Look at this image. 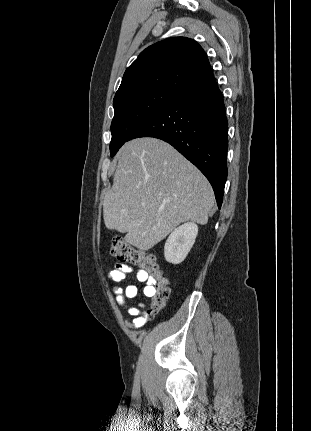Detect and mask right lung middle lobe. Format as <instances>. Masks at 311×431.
<instances>
[{"mask_svg":"<svg viewBox=\"0 0 311 431\" xmlns=\"http://www.w3.org/2000/svg\"><path fill=\"white\" fill-rule=\"evenodd\" d=\"M180 95L154 88L130 91L114 97L111 123V157L129 140L131 133Z\"/></svg>","mask_w":311,"mask_h":431,"instance_id":"1","label":"right lung middle lobe"}]
</instances>
